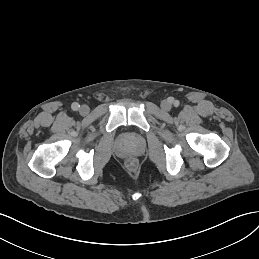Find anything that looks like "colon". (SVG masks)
<instances>
[{
  "instance_id": "5ec220e1",
  "label": "colon",
  "mask_w": 259,
  "mask_h": 259,
  "mask_svg": "<svg viewBox=\"0 0 259 259\" xmlns=\"http://www.w3.org/2000/svg\"><path fill=\"white\" fill-rule=\"evenodd\" d=\"M125 164L127 168L133 170L137 167L138 161L134 157H130L126 160Z\"/></svg>"
}]
</instances>
